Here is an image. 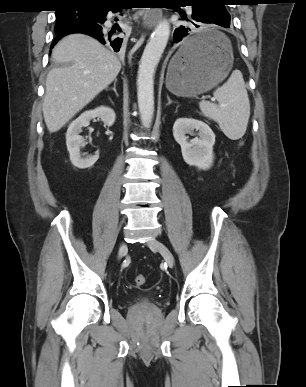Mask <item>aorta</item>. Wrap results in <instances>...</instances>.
I'll use <instances>...</instances> for the list:
<instances>
[{"label": "aorta", "instance_id": "obj_1", "mask_svg": "<svg viewBox=\"0 0 306 387\" xmlns=\"http://www.w3.org/2000/svg\"><path fill=\"white\" fill-rule=\"evenodd\" d=\"M170 36V24L162 20L156 26L143 51L137 77V99L140 119L149 127L154 115V75Z\"/></svg>", "mask_w": 306, "mask_h": 387}]
</instances>
